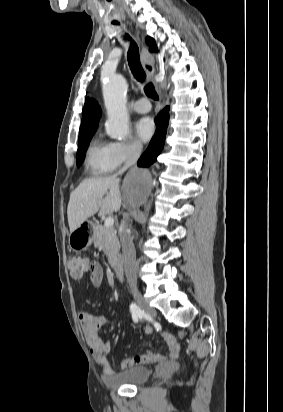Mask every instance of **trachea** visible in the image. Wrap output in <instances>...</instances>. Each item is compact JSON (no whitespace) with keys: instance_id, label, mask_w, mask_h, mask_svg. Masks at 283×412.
Segmentation results:
<instances>
[{"instance_id":"1","label":"trachea","mask_w":283,"mask_h":412,"mask_svg":"<svg viewBox=\"0 0 283 412\" xmlns=\"http://www.w3.org/2000/svg\"><path fill=\"white\" fill-rule=\"evenodd\" d=\"M128 38H129V36H128ZM127 58H128V63H129L132 74L134 75V77L138 81L143 82L145 80L146 74H145V72L143 70V67L141 65V62H140L139 48H138L137 44L134 41L131 42L130 48L128 50ZM144 91H145V94L148 97H150L154 100L159 99V97H158V95L155 91V88L151 83H148V84L145 85Z\"/></svg>"}]
</instances>
